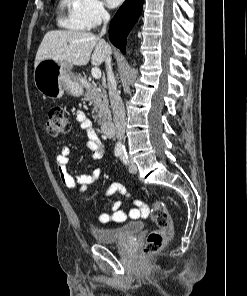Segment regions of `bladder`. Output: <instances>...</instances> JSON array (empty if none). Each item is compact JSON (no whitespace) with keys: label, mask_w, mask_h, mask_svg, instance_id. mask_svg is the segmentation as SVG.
I'll list each match as a JSON object with an SVG mask.
<instances>
[{"label":"bladder","mask_w":247,"mask_h":296,"mask_svg":"<svg viewBox=\"0 0 247 296\" xmlns=\"http://www.w3.org/2000/svg\"><path fill=\"white\" fill-rule=\"evenodd\" d=\"M144 227L142 222H129L116 228H92L94 239L98 243L111 244L123 242L138 234Z\"/></svg>","instance_id":"bladder-1"}]
</instances>
